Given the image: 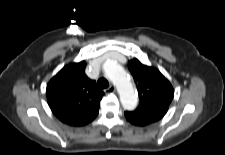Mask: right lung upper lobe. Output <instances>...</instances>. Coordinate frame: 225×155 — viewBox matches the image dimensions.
Masks as SVG:
<instances>
[{
    "mask_svg": "<svg viewBox=\"0 0 225 155\" xmlns=\"http://www.w3.org/2000/svg\"><path fill=\"white\" fill-rule=\"evenodd\" d=\"M86 62L63 67L47 85L48 105L53 114L70 126H83L92 122L99 112L104 92L98 91L96 82L84 70Z\"/></svg>",
    "mask_w": 225,
    "mask_h": 155,
    "instance_id": "cb5924a9",
    "label": "right lung upper lobe"
}]
</instances>
